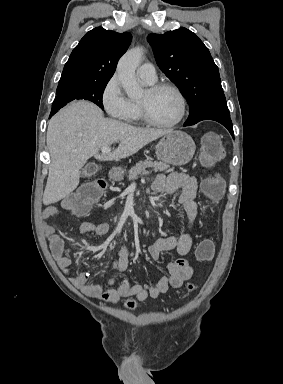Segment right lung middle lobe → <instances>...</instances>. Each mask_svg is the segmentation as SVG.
Segmentation results:
<instances>
[{
  "instance_id": "right-lung-middle-lobe-1",
  "label": "right lung middle lobe",
  "mask_w": 283,
  "mask_h": 384,
  "mask_svg": "<svg viewBox=\"0 0 283 384\" xmlns=\"http://www.w3.org/2000/svg\"><path fill=\"white\" fill-rule=\"evenodd\" d=\"M107 83L108 82L58 86L57 96L53 102L52 110H59L69 102L79 99L89 100L101 109H104L102 95Z\"/></svg>"
}]
</instances>
